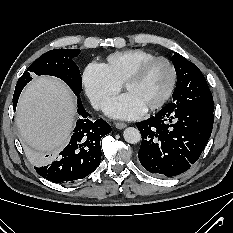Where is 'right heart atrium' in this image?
I'll list each match as a JSON object with an SVG mask.
<instances>
[{"label": "right heart atrium", "instance_id": "d8ad5b80", "mask_svg": "<svg viewBox=\"0 0 233 233\" xmlns=\"http://www.w3.org/2000/svg\"><path fill=\"white\" fill-rule=\"evenodd\" d=\"M82 83L87 97L96 109H102L121 88L105 65L100 63H90L86 66Z\"/></svg>", "mask_w": 233, "mask_h": 233}]
</instances>
